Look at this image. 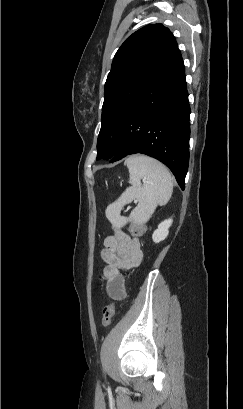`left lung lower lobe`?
Masks as SVG:
<instances>
[{
	"instance_id": "obj_1",
	"label": "left lung lower lobe",
	"mask_w": 243,
	"mask_h": 409,
	"mask_svg": "<svg viewBox=\"0 0 243 409\" xmlns=\"http://www.w3.org/2000/svg\"><path fill=\"white\" fill-rule=\"evenodd\" d=\"M190 107L177 48L152 77L127 115L110 162L141 153L164 163L184 190L189 163Z\"/></svg>"
}]
</instances>
